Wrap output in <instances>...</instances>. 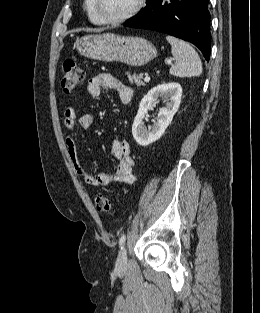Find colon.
<instances>
[{
    "label": "colon",
    "mask_w": 260,
    "mask_h": 313,
    "mask_svg": "<svg viewBox=\"0 0 260 313\" xmlns=\"http://www.w3.org/2000/svg\"><path fill=\"white\" fill-rule=\"evenodd\" d=\"M84 81V72L75 59H67L62 66L61 86L64 92L69 93L81 86ZM95 207L101 213L112 210L111 200L104 195L95 198Z\"/></svg>",
    "instance_id": "1"
}]
</instances>
